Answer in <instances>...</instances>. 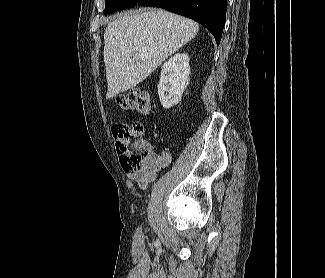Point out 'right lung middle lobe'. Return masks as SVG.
<instances>
[{
    "label": "right lung middle lobe",
    "mask_w": 325,
    "mask_h": 278,
    "mask_svg": "<svg viewBox=\"0 0 325 278\" xmlns=\"http://www.w3.org/2000/svg\"><path fill=\"white\" fill-rule=\"evenodd\" d=\"M138 0H105L104 14L113 13L116 10L130 8L136 5Z\"/></svg>",
    "instance_id": "right-lung-middle-lobe-1"
}]
</instances>
